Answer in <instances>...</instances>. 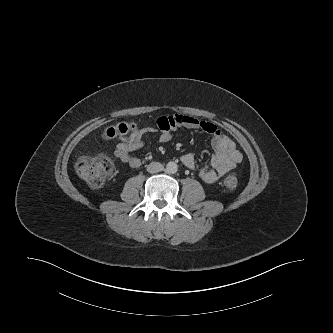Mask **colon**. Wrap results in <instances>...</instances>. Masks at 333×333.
<instances>
[{
    "mask_svg": "<svg viewBox=\"0 0 333 333\" xmlns=\"http://www.w3.org/2000/svg\"><path fill=\"white\" fill-rule=\"evenodd\" d=\"M137 131L134 123H119L106 129L104 135L108 139H123ZM77 174L91 187H101L113 172V163L105 155L80 157L76 163ZM239 183L234 174L225 176L223 184L227 189H234Z\"/></svg>",
    "mask_w": 333,
    "mask_h": 333,
    "instance_id": "1",
    "label": "colon"
}]
</instances>
